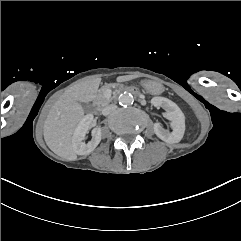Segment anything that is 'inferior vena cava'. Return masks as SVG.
<instances>
[{
  "mask_svg": "<svg viewBox=\"0 0 241 241\" xmlns=\"http://www.w3.org/2000/svg\"><path fill=\"white\" fill-rule=\"evenodd\" d=\"M117 106L114 105V104H110V105H107L105 106L103 109H102V114L104 116H107L109 115L111 112H113L114 110H116Z\"/></svg>",
  "mask_w": 241,
  "mask_h": 241,
  "instance_id": "inferior-vena-cava-1",
  "label": "inferior vena cava"
}]
</instances>
